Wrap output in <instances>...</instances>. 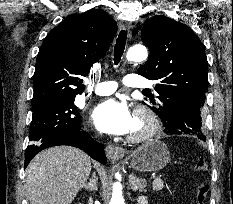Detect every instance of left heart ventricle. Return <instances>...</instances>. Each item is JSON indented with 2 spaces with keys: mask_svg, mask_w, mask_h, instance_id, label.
<instances>
[{
  "mask_svg": "<svg viewBox=\"0 0 233 204\" xmlns=\"http://www.w3.org/2000/svg\"><path fill=\"white\" fill-rule=\"evenodd\" d=\"M143 126H144L143 122L134 117V123H133L130 133H135V132L142 130Z\"/></svg>",
  "mask_w": 233,
  "mask_h": 204,
  "instance_id": "obj_1",
  "label": "left heart ventricle"
}]
</instances>
